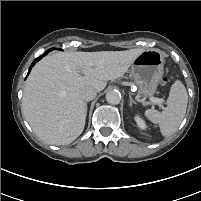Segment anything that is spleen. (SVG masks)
<instances>
[{
  "mask_svg": "<svg viewBox=\"0 0 201 201\" xmlns=\"http://www.w3.org/2000/svg\"><path fill=\"white\" fill-rule=\"evenodd\" d=\"M188 95L185 86L175 81L171 86L167 98V107L163 112L154 109L145 111V116L154 124H159L163 136L168 137L175 133L181 124L187 108Z\"/></svg>",
  "mask_w": 201,
  "mask_h": 201,
  "instance_id": "1",
  "label": "spleen"
}]
</instances>
